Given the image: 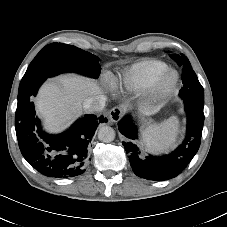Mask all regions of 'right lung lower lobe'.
Here are the masks:
<instances>
[{
	"label": "right lung lower lobe",
	"mask_w": 227,
	"mask_h": 227,
	"mask_svg": "<svg viewBox=\"0 0 227 227\" xmlns=\"http://www.w3.org/2000/svg\"><path fill=\"white\" fill-rule=\"evenodd\" d=\"M44 80L19 90L15 115L19 148L27 162L46 176L68 178L80 175L85 171L92 136L98 124L107 122V119L101 116L98 120L94 115H85L63 134H46L41 130L31 101ZM63 150H68V154H56Z\"/></svg>",
	"instance_id": "obj_1"
}]
</instances>
